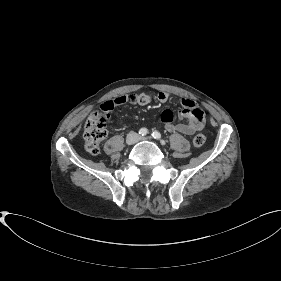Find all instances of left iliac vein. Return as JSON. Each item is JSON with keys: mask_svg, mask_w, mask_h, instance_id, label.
<instances>
[{"mask_svg": "<svg viewBox=\"0 0 281 281\" xmlns=\"http://www.w3.org/2000/svg\"><path fill=\"white\" fill-rule=\"evenodd\" d=\"M145 140H150L149 137H139L138 141H145Z\"/></svg>", "mask_w": 281, "mask_h": 281, "instance_id": "1", "label": "left iliac vein"}]
</instances>
